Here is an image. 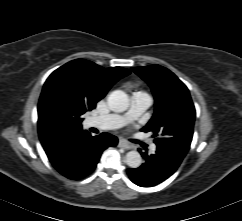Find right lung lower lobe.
Returning a JSON list of instances; mask_svg holds the SVG:
<instances>
[{"mask_svg":"<svg viewBox=\"0 0 242 221\" xmlns=\"http://www.w3.org/2000/svg\"><path fill=\"white\" fill-rule=\"evenodd\" d=\"M118 139L108 133L91 136L79 130L65 135L44 150L55 169L63 176L77 180L90 174L96 167L102 152L116 146Z\"/></svg>","mask_w":242,"mask_h":221,"instance_id":"98d812e1","label":"right lung lower lobe"}]
</instances>
